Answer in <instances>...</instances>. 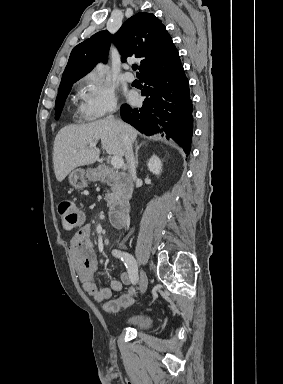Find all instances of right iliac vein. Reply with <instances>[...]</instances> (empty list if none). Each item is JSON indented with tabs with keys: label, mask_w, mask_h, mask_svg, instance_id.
I'll return each instance as SVG.
<instances>
[{
	"label": "right iliac vein",
	"mask_w": 283,
	"mask_h": 384,
	"mask_svg": "<svg viewBox=\"0 0 283 384\" xmlns=\"http://www.w3.org/2000/svg\"><path fill=\"white\" fill-rule=\"evenodd\" d=\"M148 287V277L146 273L141 270L140 271V292L141 294H144Z\"/></svg>",
	"instance_id": "obj_1"
}]
</instances>
